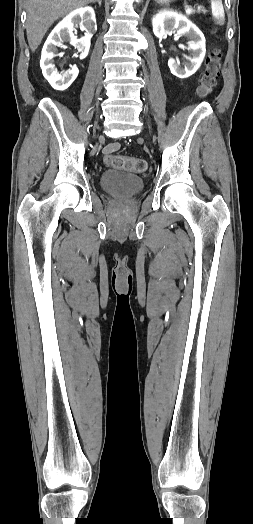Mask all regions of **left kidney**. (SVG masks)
<instances>
[{"instance_id": "left-kidney-1", "label": "left kidney", "mask_w": 253, "mask_h": 524, "mask_svg": "<svg viewBox=\"0 0 253 524\" xmlns=\"http://www.w3.org/2000/svg\"><path fill=\"white\" fill-rule=\"evenodd\" d=\"M153 32L158 38L166 37L177 30L180 36L189 38L188 50L191 57L183 66L176 59L170 58L168 66L171 73L179 78L193 75L200 67L206 53L205 37L203 33L185 16L174 11L161 10L152 19Z\"/></svg>"}]
</instances>
